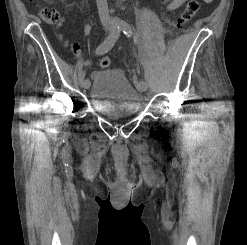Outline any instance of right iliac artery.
Returning a JSON list of instances; mask_svg holds the SVG:
<instances>
[{
    "mask_svg": "<svg viewBox=\"0 0 247 245\" xmlns=\"http://www.w3.org/2000/svg\"><path fill=\"white\" fill-rule=\"evenodd\" d=\"M120 31L119 26H113L110 35L96 48V54L102 55L111 50L120 36ZM83 71L85 72L86 70L84 69ZM84 72L80 74L79 82H85L86 76Z\"/></svg>",
    "mask_w": 247,
    "mask_h": 245,
    "instance_id": "1",
    "label": "right iliac artery"
}]
</instances>
